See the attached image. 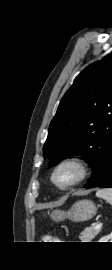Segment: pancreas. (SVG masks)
Listing matches in <instances>:
<instances>
[{"label": "pancreas", "instance_id": "pancreas-1", "mask_svg": "<svg viewBox=\"0 0 112 270\" xmlns=\"http://www.w3.org/2000/svg\"><path fill=\"white\" fill-rule=\"evenodd\" d=\"M101 231V228L94 229V227H88L79 235L81 242H91L92 239Z\"/></svg>", "mask_w": 112, "mask_h": 270}]
</instances>
